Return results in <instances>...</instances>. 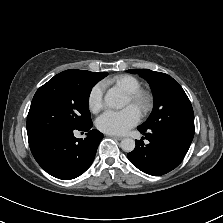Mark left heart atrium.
Segmentation results:
<instances>
[{
  "instance_id": "1",
  "label": "left heart atrium",
  "mask_w": 223,
  "mask_h": 223,
  "mask_svg": "<svg viewBox=\"0 0 223 223\" xmlns=\"http://www.w3.org/2000/svg\"><path fill=\"white\" fill-rule=\"evenodd\" d=\"M140 120V112L134 105L122 110H106L97 119V127L106 133L124 134Z\"/></svg>"
}]
</instances>
